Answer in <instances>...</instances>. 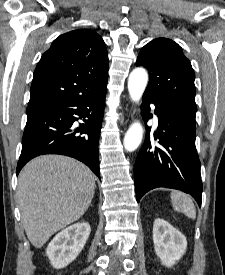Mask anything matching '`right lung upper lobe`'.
Segmentation results:
<instances>
[{"label": "right lung upper lobe", "mask_w": 225, "mask_h": 275, "mask_svg": "<svg viewBox=\"0 0 225 275\" xmlns=\"http://www.w3.org/2000/svg\"><path fill=\"white\" fill-rule=\"evenodd\" d=\"M108 69L105 43L96 32L78 29L59 36L37 64L27 110L97 93Z\"/></svg>", "instance_id": "cb5924a9"}]
</instances>
